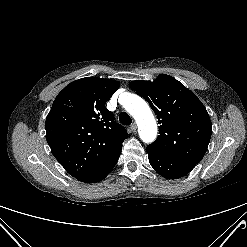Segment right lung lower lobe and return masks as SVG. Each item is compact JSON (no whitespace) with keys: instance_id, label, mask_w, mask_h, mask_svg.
<instances>
[{"instance_id":"98d812e1","label":"right lung lower lobe","mask_w":247,"mask_h":247,"mask_svg":"<svg viewBox=\"0 0 247 247\" xmlns=\"http://www.w3.org/2000/svg\"><path fill=\"white\" fill-rule=\"evenodd\" d=\"M119 156H120V153H118L107 163H105L104 165L96 169L94 172L79 179V181L85 182V183H95V182H99L103 180L112 171V169L114 168V166L116 165L119 159Z\"/></svg>"}]
</instances>
